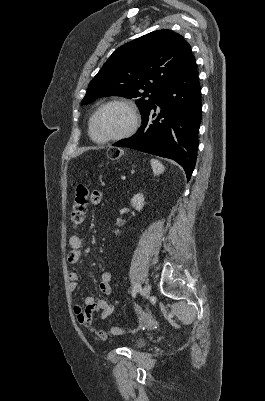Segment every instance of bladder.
<instances>
[{"mask_svg": "<svg viewBox=\"0 0 265 401\" xmlns=\"http://www.w3.org/2000/svg\"><path fill=\"white\" fill-rule=\"evenodd\" d=\"M146 342H147L146 338H145V339H143V338H138V339H136V340L134 341L133 347H134V349H140L143 345L146 344Z\"/></svg>", "mask_w": 265, "mask_h": 401, "instance_id": "obj_1", "label": "bladder"}]
</instances>
